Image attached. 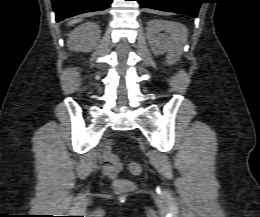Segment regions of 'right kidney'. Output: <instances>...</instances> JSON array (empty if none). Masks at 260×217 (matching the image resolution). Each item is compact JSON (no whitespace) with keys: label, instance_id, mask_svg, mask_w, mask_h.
<instances>
[{"label":"right kidney","instance_id":"ca27d5eb","mask_svg":"<svg viewBox=\"0 0 260 217\" xmlns=\"http://www.w3.org/2000/svg\"><path fill=\"white\" fill-rule=\"evenodd\" d=\"M100 38V29L95 23H85L69 34L67 46L73 51L90 52Z\"/></svg>","mask_w":260,"mask_h":217}]
</instances>
